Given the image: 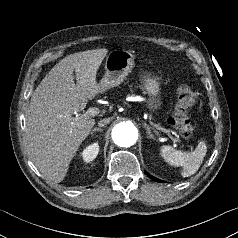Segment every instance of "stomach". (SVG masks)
Returning <instances> with one entry per match:
<instances>
[{
  "mask_svg": "<svg viewBox=\"0 0 238 238\" xmlns=\"http://www.w3.org/2000/svg\"><path fill=\"white\" fill-rule=\"evenodd\" d=\"M135 65L134 55L127 50H114L106 58L105 74L99 82L102 91L120 85ZM143 87L150 96L149 108L153 111L160 106V82L149 75L143 77Z\"/></svg>",
  "mask_w": 238,
  "mask_h": 238,
  "instance_id": "stomach-1",
  "label": "stomach"
}]
</instances>
